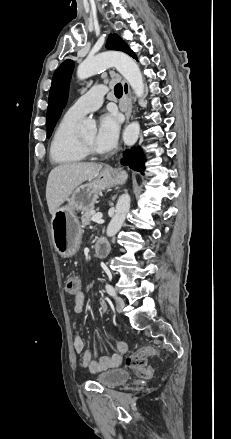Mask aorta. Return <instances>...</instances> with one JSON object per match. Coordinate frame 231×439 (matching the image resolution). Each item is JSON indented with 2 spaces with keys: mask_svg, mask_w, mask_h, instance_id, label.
I'll list each match as a JSON object with an SVG mask.
<instances>
[{
  "mask_svg": "<svg viewBox=\"0 0 231 439\" xmlns=\"http://www.w3.org/2000/svg\"><path fill=\"white\" fill-rule=\"evenodd\" d=\"M115 67L117 71L127 80L138 98L144 96V81L141 71L136 62L127 54L118 51H109L98 54L93 57H87L77 68V78L79 80L87 79L99 71ZM96 123L92 119L84 120L81 131L93 132ZM140 125L134 121L124 130L123 141L126 145H134L139 137ZM131 198L128 194H122L116 204L115 215L107 227V236H114L122 227L126 215L130 210Z\"/></svg>",
  "mask_w": 231,
  "mask_h": 439,
  "instance_id": "762f6f07",
  "label": "aorta"
}]
</instances>
